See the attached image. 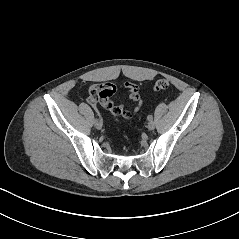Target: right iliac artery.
I'll return each mask as SVG.
<instances>
[{
    "instance_id": "82829eb1",
    "label": "right iliac artery",
    "mask_w": 239,
    "mask_h": 239,
    "mask_svg": "<svg viewBox=\"0 0 239 239\" xmlns=\"http://www.w3.org/2000/svg\"><path fill=\"white\" fill-rule=\"evenodd\" d=\"M99 120L97 118L94 119V124L97 123Z\"/></svg>"
}]
</instances>
